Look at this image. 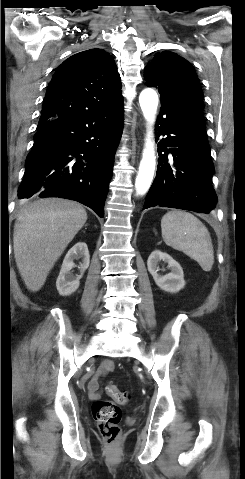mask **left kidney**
<instances>
[{
	"mask_svg": "<svg viewBox=\"0 0 245 479\" xmlns=\"http://www.w3.org/2000/svg\"><path fill=\"white\" fill-rule=\"evenodd\" d=\"M161 260L168 263L171 270L170 273L166 275H160L158 273L160 270L158 264ZM147 267L149 273L153 276L156 285L162 290L170 293H177L184 288L185 280L183 269L169 254L159 250L153 251L147 260Z\"/></svg>",
	"mask_w": 245,
	"mask_h": 479,
	"instance_id": "left-kidney-1",
	"label": "left kidney"
}]
</instances>
